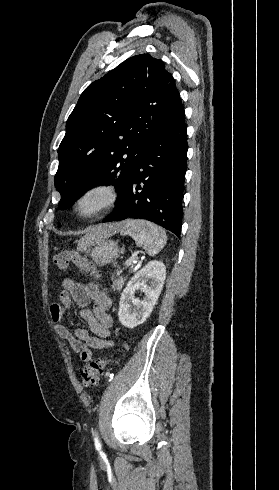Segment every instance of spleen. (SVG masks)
Masks as SVG:
<instances>
[{
	"label": "spleen",
	"mask_w": 279,
	"mask_h": 490,
	"mask_svg": "<svg viewBox=\"0 0 279 490\" xmlns=\"http://www.w3.org/2000/svg\"><path fill=\"white\" fill-rule=\"evenodd\" d=\"M120 232L121 236H131L136 246L144 248L149 256L159 254L167 242L164 230L146 220H126Z\"/></svg>",
	"instance_id": "spleen-1"
}]
</instances>
